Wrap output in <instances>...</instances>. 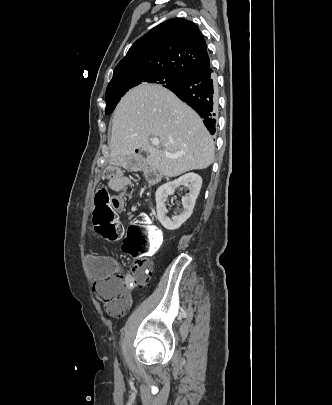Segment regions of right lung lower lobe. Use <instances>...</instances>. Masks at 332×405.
I'll use <instances>...</instances> for the list:
<instances>
[{
	"instance_id": "1",
	"label": "right lung lower lobe",
	"mask_w": 332,
	"mask_h": 405,
	"mask_svg": "<svg viewBox=\"0 0 332 405\" xmlns=\"http://www.w3.org/2000/svg\"><path fill=\"white\" fill-rule=\"evenodd\" d=\"M168 89L204 119L203 122L211 134L215 133V115L218 106L217 83L210 64L190 73Z\"/></svg>"
}]
</instances>
